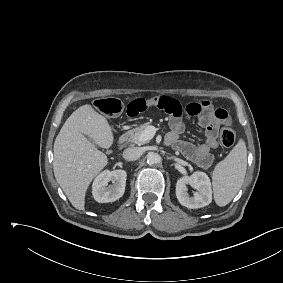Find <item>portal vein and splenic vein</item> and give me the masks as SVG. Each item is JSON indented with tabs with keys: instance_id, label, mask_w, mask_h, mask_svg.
Masks as SVG:
<instances>
[{
	"instance_id": "18ae733b",
	"label": "portal vein and splenic vein",
	"mask_w": 283,
	"mask_h": 283,
	"mask_svg": "<svg viewBox=\"0 0 283 283\" xmlns=\"http://www.w3.org/2000/svg\"><path fill=\"white\" fill-rule=\"evenodd\" d=\"M156 133V128L154 126H149L141 135L139 138L140 142H145L151 140Z\"/></svg>"
}]
</instances>
